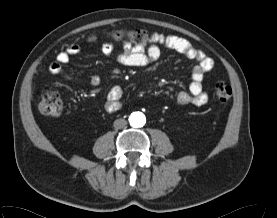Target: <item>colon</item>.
Returning <instances> with one entry per match:
<instances>
[{
    "instance_id": "colon-1",
    "label": "colon",
    "mask_w": 277,
    "mask_h": 218,
    "mask_svg": "<svg viewBox=\"0 0 277 218\" xmlns=\"http://www.w3.org/2000/svg\"><path fill=\"white\" fill-rule=\"evenodd\" d=\"M112 38L117 41H127L133 45H145L148 41V34L144 30H120L111 34ZM215 92L219 100L228 101L233 94L232 87L224 82L215 84ZM39 111L42 114L57 116L62 111V101L59 93L51 87L45 88L41 94L39 102Z\"/></svg>"
}]
</instances>
